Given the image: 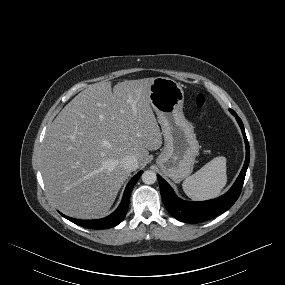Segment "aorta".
<instances>
[{"instance_id": "obj_1", "label": "aorta", "mask_w": 285, "mask_h": 285, "mask_svg": "<svg viewBox=\"0 0 285 285\" xmlns=\"http://www.w3.org/2000/svg\"><path fill=\"white\" fill-rule=\"evenodd\" d=\"M157 180L156 173L152 170H146L142 174V181L147 184L151 185L154 184Z\"/></svg>"}]
</instances>
